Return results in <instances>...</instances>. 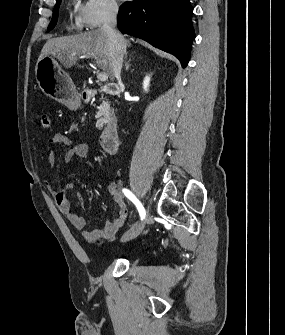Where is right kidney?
Instances as JSON below:
<instances>
[{
    "label": "right kidney",
    "mask_w": 285,
    "mask_h": 335,
    "mask_svg": "<svg viewBox=\"0 0 285 335\" xmlns=\"http://www.w3.org/2000/svg\"><path fill=\"white\" fill-rule=\"evenodd\" d=\"M149 84H150V76H145V78L143 80V90H144V92H148Z\"/></svg>",
    "instance_id": "obj_1"
}]
</instances>
